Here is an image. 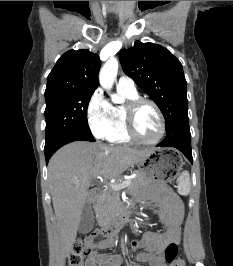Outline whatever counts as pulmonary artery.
<instances>
[{
	"instance_id": "obj_1",
	"label": "pulmonary artery",
	"mask_w": 233,
	"mask_h": 266,
	"mask_svg": "<svg viewBox=\"0 0 233 266\" xmlns=\"http://www.w3.org/2000/svg\"><path fill=\"white\" fill-rule=\"evenodd\" d=\"M117 88L131 93L136 92L134 81L130 77L125 75L121 76L118 79Z\"/></svg>"
}]
</instances>
